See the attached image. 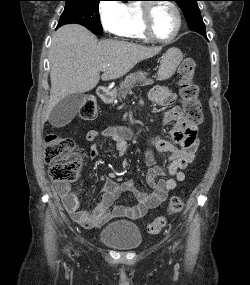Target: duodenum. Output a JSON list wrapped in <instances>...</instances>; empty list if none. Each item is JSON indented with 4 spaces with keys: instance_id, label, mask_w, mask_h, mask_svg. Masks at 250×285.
<instances>
[{
    "instance_id": "obj_1",
    "label": "duodenum",
    "mask_w": 250,
    "mask_h": 285,
    "mask_svg": "<svg viewBox=\"0 0 250 285\" xmlns=\"http://www.w3.org/2000/svg\"><path fill=\"white\" fill-rule=\"evenodd\" d=\"M97 95L101 101L108 103L111 100V92L107 87L100 86L97 89Z\"/></svg>"
}]
</instances>
